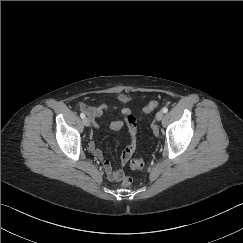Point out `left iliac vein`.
Segmentation results:
<instances>
[{
  "label": "left iliac vein",
  "instance_id": "1",
  "mask_svg": "<svg viewBox=\"0 0 243 243\" xmlns=\"http://www.w3.org/2000/svg\"><path fill=\"white\" fill-rule=\"evenodd\" d=\"M163 117H164V113H163V111H158V112L156 113V120H157V121H161V120L163 119ZM155 132H156V129H155Z\"/></svg>",
  "mask_w": 243,
  "mask_h": 243
}]
</instances>
